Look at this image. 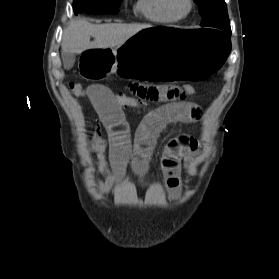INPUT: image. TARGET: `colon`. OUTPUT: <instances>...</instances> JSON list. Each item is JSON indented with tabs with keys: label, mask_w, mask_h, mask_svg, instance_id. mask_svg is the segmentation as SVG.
<instances>
[{
	"label": "colon",
	"mask_w": 279,
	"mask_h": 279,
	"mask_svg": "<svg viewBox=\"0 0 279 279\" xmlns=\"http://www.w3.org/2000/svg\"><path fill=\"white\" fill-rule=\"evenodd\" d=\"M70 91L76 96H84L87 93V87L83 86L79 83H70L69 84ZM195 88L192 85H183L178 87L175 91V98H188L190 95L194 94ZM114 100L124 108L130 109H143L147 107L150 103L153 102L151 98L139 97V96H128L124 93H115L113 94Z\"/></svg>",
	"instance_id": "5ec220e1"
}]
</instances>
